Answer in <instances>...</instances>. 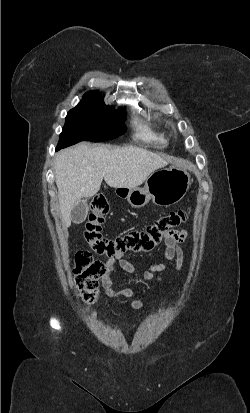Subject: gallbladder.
I'll list each match as a JSON object with an SVG mask.
<instances>
[{"instance_id": "obj_1", "label": "gallbladder", "mask_w": 250, "mask_h": 413, "mask_svg": "<svg viewBox=\"0 0 250 413\" xmlns=\"http://www.w3.org/2000/svg\"><path fill=\"white\" fill-rule=\"evenodd\" d=\"M88 213V204L86 200L79 201L71 211V220L75 224H80L85 221Z\"/></svg>"}]
</instances>
